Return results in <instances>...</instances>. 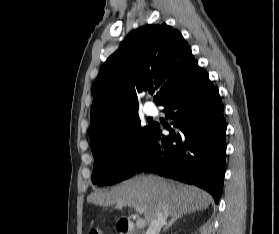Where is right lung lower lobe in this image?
<instances>
[{"instance_id":"obj_1","label":"right lung lower lobe","mask_w":279,"mask_h":234,"mask_svg":"<svg viewBox=\"0 0 279 234\" xmlns=\"http://www.w3.org/2000/svg\"><path fill=\"white\" fill-rule=\"evenodd\" d=\"M174 130L154 123L140 165L161 176L196 185L218 203L225 175L226 121L218 89L198 63L158 104Z\"/></svg>"}]
</instances>
